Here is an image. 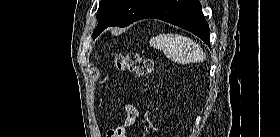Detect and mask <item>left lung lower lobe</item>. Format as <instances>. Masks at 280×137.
Segmentation results:
<instances>
[{"instance_id":"obj_1","label":"left lung lower lobe","mask_w":280,"mask_h":137,"mask_svg":"<svg viewBox=\"0 0 280 137\" xmlns=\"http://www.w3.org/2000/svg\"><path fill=\"white\" fill-rule=\"evenodd\" d=\"M147 18H156L179 26L210 45V30L199 0H160L140 19Z\"/></svg>"}]
</instances>
